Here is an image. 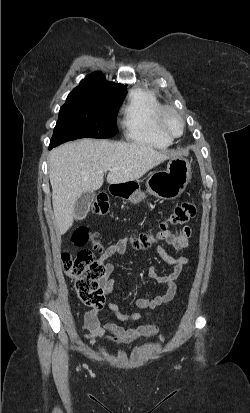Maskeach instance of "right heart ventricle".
<instances>
[{"mask_svg": "<svg viewBox=\"0 0 250 413\" xmlns=\"http://www.w3.org/2000/svg\"><path fill=\"white\" fill-rule=\"evenodd\" d=\"M161 106L152 91L142 88L132 90L122 108L121 126L125 138L159 149L170 146L172 140L163 136L156 127V115Z\"/></svg>", "mask_w": 250, "mask_h": 413, "instance_id": "e07e8e85", "label": "right heart ventricle"}]
</instances>
